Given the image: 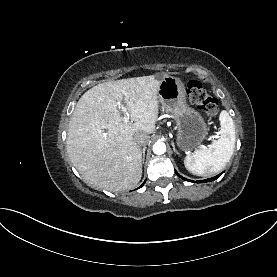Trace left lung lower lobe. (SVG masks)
<instances>
[{"label": "left lung lower lobe", "mask_w": 277, "mask_h": 277, "mask_svg": "<svg viewBox=\"0 0 277 277\" xmlns=\"http://www.w3.org/2000/svg\"><path fill=\"white\" fill-rule=\"evenodd\" d=\"M176 174H177L180 178H182L183 180L190 181V182H194V181H191V180H188V179L182 177V176L179 175L177 172H176ZM221 174H222V173H221ZM221 174H219V175H217V176H215V177H212V178H209V179H206V180H202V181H197V182H199V183H201V182H210V181H213V180L217 179Z\"/></svg>", "instance_id": "left-lung-lower-lobe-1"}]
</instances>
